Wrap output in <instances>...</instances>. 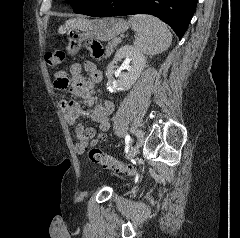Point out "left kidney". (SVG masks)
Segmentation results:
<instances>
[{
	"mask_svg": "<svg viewBox=\"0 0 240 238\" xmlns=\"http://www.w3.org/2000/svg\"><path fill=\"white\" fill-rule=\"evenodd\" d=\"M126 58L131 62V66L127 69V72L120 74L117 81L113 80V73L115 64ZM146 63V57L135 46L125 45L117 50L113 60L109 63L107 71L105 73L108 78L107 88L111 92L127 91L129 90L139 75L143 71Z\"/></svg>",
	"mask_w": 240,
	"mask_h": 238,
	"instance_id": "5707ae66",
	"label": "left kidney"
}]
</instances>
